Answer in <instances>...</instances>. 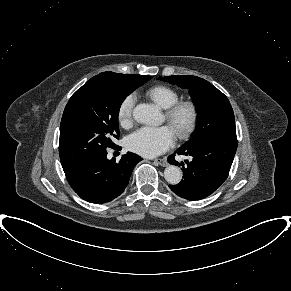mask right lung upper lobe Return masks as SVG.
I'll list each match as a JSON object with an SVG mask.
<instances>
[{"instance_id": "right-lung-upper-lobe-1", "label": "right lung upper lobe", "mask_w": 291, "mask_h": 291, "mask_svg": "<svg viewBox=\"0 0 291 291\" xmlns=\"http://www.w3.org/2000/svg\"><path fill=\"white\" fill-rule=\"evenodd\" d=\"M144 75H137V74H119L113 72H103L99 75L91 78L93 80H113V81H121L125 83H135Z\"/></svg>"}]
</instances>
